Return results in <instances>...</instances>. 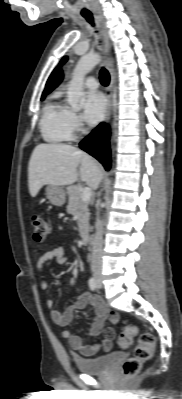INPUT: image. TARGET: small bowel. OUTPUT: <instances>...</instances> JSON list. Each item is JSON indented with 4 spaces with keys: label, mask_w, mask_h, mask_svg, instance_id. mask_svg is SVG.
<instances>
[{
    "label": "small bowel",
    "mask_w": 182,
    "mask_h": 399,
    "mask_svg": "<svg viewBox=\"0 0 182 399\" xmlns=\"http://www.w3.org/2000/svg\"><path fill=\"white\" fill-rule=\"evenodd\" d=\"M51 260L56 261L58 264H66L70 261V258L65 255L63 247H56L43 252L38 257L37 268L42 271L45 264ZM48 286V282L43 278L40 282V287L45 290ZM88 303L93 305L96 313V318L90 326L89 335L91 337H97L103 333L102 341L86 344L81 337L74 335L67 329L62 331V336L68 340L72 349L84 356H94L98 354L101 349L108 351L112 348L116 331L112 328L104 329V323L106 320H109L111 323H117L119 321V315L117 313L109 311L97 296L91 295L89 292H83L79 298L73 304L66 307L64 311L54 309L51 311L50 315L52 321L56 325L65 327L74 320L76 312L84 309ZM53 305L54 300L52 298L46 299L47 307L52 308Z\"/></svg>",
    "instance_id": "1"
}]
</instances>
